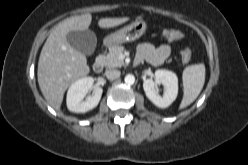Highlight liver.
Returning a JSON list of instances; mask_svg holds the SVG:
<instances>
[{
    "label": "liver",
    "mask_w": 248,
    "mask_h": 165,
    "mask_svg": "<svg viewBox=\"0 0 248 165\" xmlns=\"http://www.w3.org/2000/svg\"><path fill=\"white\" fill-rule=\"evenodd\" d=\"M91 14L67 18L60 22L48 36L38 61V84L47 103L60 109L67 88L77 79L86 76L90 68L86 56L75 50L67 41V34L74 30H87ZM123 18H102L101 28H111L128 21Z\"/></svg>",
    "instance_id": "obj_1"
}]
</instances>
